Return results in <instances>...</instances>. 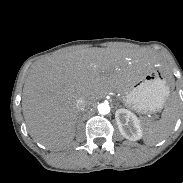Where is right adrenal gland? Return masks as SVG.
Segmentation results:
<instances>
[{
    "label": "right adrenal gland",
    "instance_id": "right-adrenal-gland-1",
    "mask_svg": "<svg viewBox=\"0 0 183 183\" xmlns=\"http://www.w3.org/2000/svg\"><path fill=\"white\" fill-rule=\"evenodd\" d=\"M81 115H82V112H81V113H79V116H78V118H79V119H80Z\"/></svg>",
    "mask_w": 183,
    "mask_h": 183
}]
</instances>
